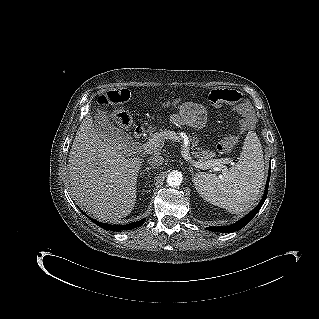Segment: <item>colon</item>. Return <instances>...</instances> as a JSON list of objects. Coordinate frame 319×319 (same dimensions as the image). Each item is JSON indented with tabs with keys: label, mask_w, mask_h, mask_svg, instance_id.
<instances>
[{
	"label": "colon",
	"mask_w": 319,
	"mask_h": 319,
	"mask_svg": "<svg viewBox=\"0 0 319 319\" xmlns=\"http://www.w3.org/2000/svg\"><path fill=\"white\" fill-rule=\"evenodd\" d=\"M129 99V93L126 90L110 91L106 95L102 96L99 102L103 105H117L125 103ZM208 101L211 104H238L242 101V96L233 89H215L212 90L208 95ZM242 114L249 112V107L243 105L240 107ZM115 122L122 128H127L131 123V116L125 110H118L115 113ZM236 142L235 138H227L220 141L217 144V149L220 153L227 154L231 151Z\"/></svg>",
	"instance_id": "1"
}]
</instances>
